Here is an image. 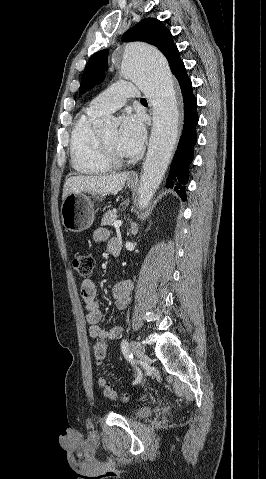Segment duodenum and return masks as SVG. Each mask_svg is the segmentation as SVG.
Instances as JSON below:
<instances>
[{
	"label": "duodenum",
	"mask_w": 266,
	"mask_h": 479,
	"mask_svg": "<svg viewBox=\"0 0 266 479\" xmlns=\"http://www.w3.org/2000/svg\"><path fill=\"white\" fill-rule=\"evenodd\" d=\"M109 251L113 256H118L120 254L121 247H120V243L117 239L111 241V243L109 245Z\"/></svg>",
	"instance_id": "410a0bca"
}]
</instances>
